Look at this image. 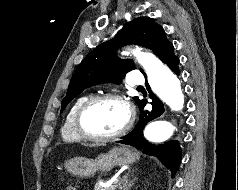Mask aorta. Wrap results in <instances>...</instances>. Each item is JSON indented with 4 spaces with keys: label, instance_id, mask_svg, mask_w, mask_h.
<instances>
[{
    "label": "aorta",
    "instance_id": "aorta-1",
    "mask_svg": "<svg viewBox=\"0 0 238 190\" xmlns=\"http://www.w3.org/2000/svg\"><path fill=\"white\" fill-rule=\"evenodd\" d=\"M124 51V55H129ZM144 68L151 90L172 110L180 111L184 104V95L178 78L153 54L134 49L131 52ZM173 124L165 119L152 121L144 131L145 138L153 143H163L173 134Z\"/></svg>",
    "mask_w": 238,
    "mask_h": 190
}]
</instances>
